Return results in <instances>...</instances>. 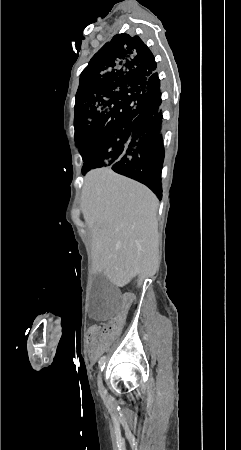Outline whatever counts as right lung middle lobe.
<instances>
[{
  "instance_id": "dd1d6c3e",
  "label": "right lung middle lobe",
  "mask_w": 241,
  "mask_h": 450,
  "mask_svg": "<svg viewBox=\"0 0 241 450\" xmlns=\"http://www.w3.org/2000/svg\"><path fill=\"white\" fill-rule=\"evenodd\" d=\"M145 108V99L124 96L114 85L80 81L74 126L84 161L83 174L112 166L142 142V135L131 132L107 141L105 137L142 115Z\"/></svg>"
}]
</instances>
